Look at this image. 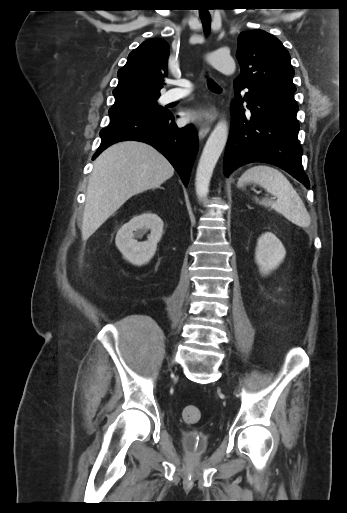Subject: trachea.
I'll list each match as a JSON object with an SVG mask.
<instances>
[{
  "label": "trachea",
  "mask_w": 347,
  "mask_h": 513,
  "mask_svg": "<svg viewBox=\"0 0 347 513\" xmlns=\"http://www.w3.org/2000/svg\"><path fill=\"white\" fill-rule=\"evenodd\" d=\"M201 20H202L204 32L207 34L210 30V22H211L210 17L201 18ZM208 88L210 91L215 92V93L221 91V87L216 82H214L212 79L208 80Z\"/></svg>",
  "instance_id": "trachea-1"
}]
</instances>
